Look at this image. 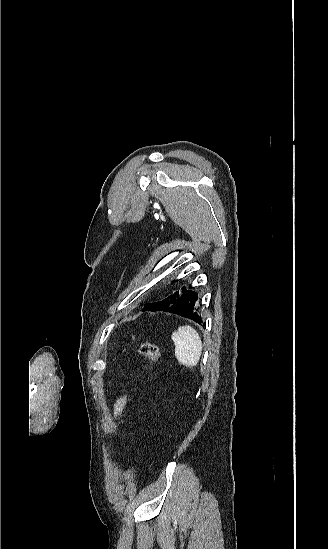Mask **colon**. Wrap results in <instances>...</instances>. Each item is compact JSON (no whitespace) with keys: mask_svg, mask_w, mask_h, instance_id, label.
Returning <instances> with one entry per match:
<instances>
[{"mask_svg":"<svg viewBox=\"0 0 328 549\" xmlns=\"http://www.w3.org/2000/svg\"><path fill=\"white\" fill-rule=\"evenodd\" d=\"M138 351L142 356H144L148 360L150 368L155 366L161 357V350L159 349V347L150 342L141 343L138 347ZM127 400H128L127 392L123 393L116 400L113 407V417L115 420H118L122 415V412L127 404Z\"/></svg>","mask_w":328,"mask_h":549,"instance_id":"5ec220e1","label":"colon"}]
</instances>
